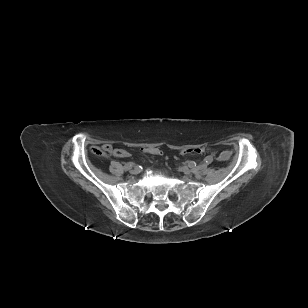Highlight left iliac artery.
Returning <instances> with one entry per match:
<instances>
[{
    "mask_svg": "<svg viewBox=\"0 0 308 308\" xmlns=\"http://www.w3.org/2000/svg\"><path fill=\"white\" fill-rule=\"evenodd\" d=\"M213 160V157L211 155H208L202 162L203 166L209 165L211 161Z\"/></svg>",
    "mask_w": 308,
    "mask_h": 308,
    "instance_id": "44dca946",
    "label": "left iliac artery"
}]
</instances>
